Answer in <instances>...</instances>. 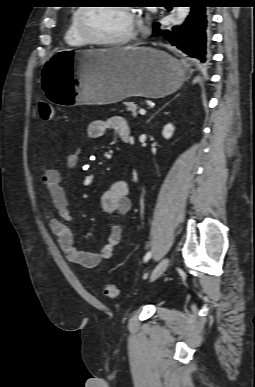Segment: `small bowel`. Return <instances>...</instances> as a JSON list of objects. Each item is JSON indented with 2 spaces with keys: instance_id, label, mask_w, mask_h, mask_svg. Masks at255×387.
Here are the masks:
<instances>
[{
  "instance_id": "obj_1",
  "label": "small bowel",
  "mask_w": 255,
  "mask_h": 387,
  "mask_svg": "<svg viewBox=\"0 0 255 387\" xmlns=\"http://www.w3.org/2000/svg\"><path fill=\"white\" fill-rule=\"evenodd\" d=\"M108 130H115L120 138L122 134L130 136V129L126 120L117 115L95 119L88 126V134L91 138H100ZM82 155V146L74 147L66 155L62 167L44 171L42 183L48 191L51 202L59 216V218H53L49 221V228L52 234L57 237L59 247L70 262L86 268H95L102 261L112 258L115 247L121 240L122 228L120 225L112 226L108 242L99 252H87L76 247L74 235L69 225L73 222V216L70 213L69 201L62 183L65 173L78 165ZM128 193L129 184L127 181H115L101 197L103 211L108 214L127 215L132 208V201Z\"/></svg>"
}]
</instances>
